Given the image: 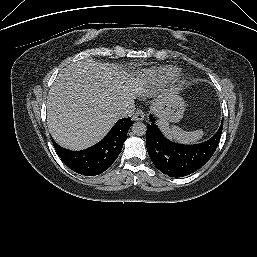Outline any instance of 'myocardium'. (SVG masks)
Instances as JSON below:
<instances>
[{"label":"myocardium","mask_w":257,"mask_h":257,"mask_svg":"<svg viewBox=\"0 0 257 257\" xmlns=\"http://www.w3.org/2000/svg\"><path fill=\"white\" fill-rule=\"evenodd\" d=\"M184 82V78L182 76H176L174 79V84L180 85Z\"/></svg>","instance_id":"f54148a6"}]
</instances>
